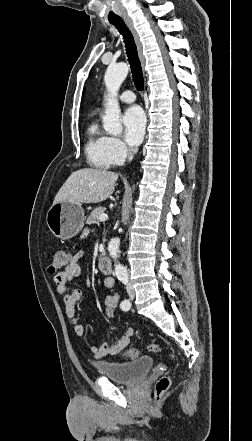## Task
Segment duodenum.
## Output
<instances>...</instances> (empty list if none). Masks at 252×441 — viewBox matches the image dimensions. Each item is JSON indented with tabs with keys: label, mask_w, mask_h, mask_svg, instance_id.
Listing matches in <instances>:
<instances>
[{
	"label": "duodenum",
	"mask_w": 252,
	"mask_h": 441,
	"mask_svg": "<svg viewBox=\"0 0 252 441\" xmlns=\"http://www.w3.org/2000/svg\"><path fill=\"white\" fill-rule=\"evenodd\" d=\"M99 268L102 272L110 274L112 271V264L109 258L105 255H101L99 258Z\"/></svg>",
	"instance_id": "410a0bca"
}]
</instances>
